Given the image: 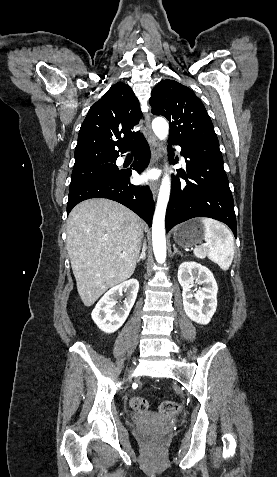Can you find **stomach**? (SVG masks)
I'll return each mask as SVG.
<instances>
[{
  "label": "stomach",
  "mask_w": 277,
  "mask_h": 477,
  "mask_svg": "<svg viewBox=\"0 0 277 477\" xmlns=\"http://www.w3.org/2000/svg\"><path fill=\"white\" fill-rule=\"evenodd\" d=\"M204 234V225L199 218H196L177 226L173 232V238L179 246L189 248L202 242Z\"/></svg>",
  "instance_id": "1"
}]
</instances>
